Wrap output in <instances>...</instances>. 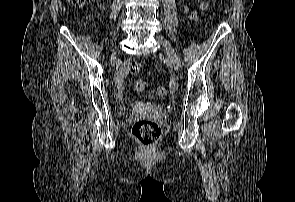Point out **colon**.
<instances>
[{
	"mask_svg": "<svg viewBox=\"0 0 295 202\" xmlns=\"http://www.w3.org/2000/svg\"><path fill=\"white\" fill-rule=\"evenodd\" d=\"M74 7H81L85 0H69ZM128 69L131 74L137 75L142 71V64L137 61H132L128 64ZM147 88V82L139 80L135 83L137 91H144ZM167 90L165 87H158L157 94L165 96ZM134 137L144 146L154 145L160 138L161 127L159 123L153 118H141L135 122L132 128Z\"/></svg>",
	"mask_w": 295,
	"mask_h": 202,
	"instance_id": "1",
	"label": "colon"
}]
</instances>
